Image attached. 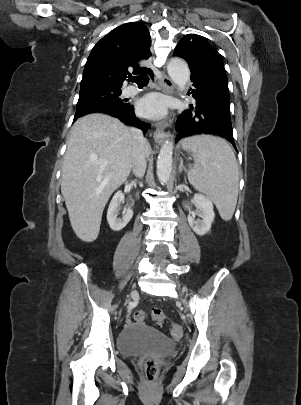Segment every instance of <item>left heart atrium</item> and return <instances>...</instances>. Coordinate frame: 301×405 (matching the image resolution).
I'll use <instances>...</instances> for the list:
<instances>
[{
	"label": "left heart atrium",
	"mask_w": 301,
	"mask_h": 405,
	"mask_svg": "<svg viewBox=\"0 0 301 405\" xmlns=\"http://www.w3.org/2000/svg\"><path fill=\"white\" fill-rule=\"evenodd\" d=\"M137 111L141 116L147 118H161L166 114L167 103L163 97L150 94L140 100Z\"/></svg>",
	"instance_id": "obj_1"
}]
</instances>
